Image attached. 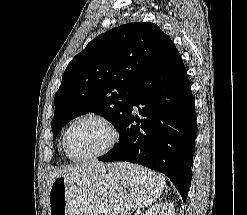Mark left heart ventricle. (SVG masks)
Returning a JSON list of instances; mask_svg holds the SVG:
<instances>
[{"label":"left heart ventricle","mask_w":247,"mask_h":215,"mask_svg":"<svg viewBox=\"0 0 247 215\" xmlns=\"http://www.w3.org/2000/svg\"><path fill=\"white\" fill-rule=\"evenodd\" d=\"M109 133L97 121L83 120L71 129L68 136V148L75 157H83L100 151L107 144Z\"/></svg>","instance_id":"1"}]
</instances>
